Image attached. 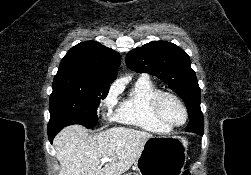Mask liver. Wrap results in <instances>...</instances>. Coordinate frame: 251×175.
Returning <instances> with one entry per match:
<instances>
[{
  "label": "liver",
  "mask_w": 251,
  "mask_h": 175,
  "mask_svg": "<svg viewBox=\"0 0 251 175\" xmlns=\"http://www.w3.org/2000/svg\"><path fill=\"white\" fill-rule=\"evenodd\" d=\"M148 137L152 133L129 127H110L89 135L83 125H68L53 141L61 165L59 175H121L135 163ZM102 157L112 161L104 165Z\"/></svg>",
  "instance_id": "1"
}]
</instances>
